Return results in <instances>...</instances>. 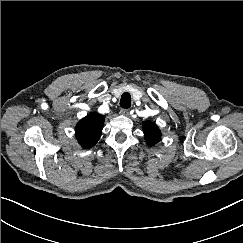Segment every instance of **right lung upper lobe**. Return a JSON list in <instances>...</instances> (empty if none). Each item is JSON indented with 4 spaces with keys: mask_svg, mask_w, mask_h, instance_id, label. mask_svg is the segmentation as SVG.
<instances>
[{
    "mask_svg": "<svg viewBox=\"0 0 243 243\" xmlns=\"http://www.w3.org/2000/svg\"><path fill=\"white\" fill-rule=\"evenodd\" d=\"M103 123L104 117L97 113L88 114L77 123L75 134L83 148H91L97 143L101 136Z\"/></svg>",
    "mask_w": 243,
    "mask_h": 243,
    "instance_id": "obj_1",
    "label": "right lung upper lobe"
}]
</instances>
